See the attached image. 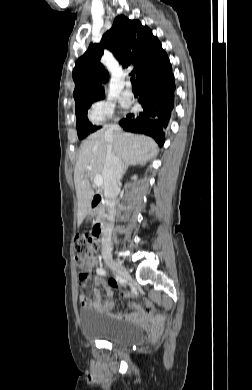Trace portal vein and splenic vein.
<instances>
[{
  "label": "portal vein and splenic vein",
  "mask_w": 252,
  "mask_h": 390,
  "mask_svg": "<svg viewBox=\"0 0 252 390\" xmlns=\"http://www.w3.org/2000/svg\"><path fill=\"white\" fill-rule=\"evenodd\" d=\"M86 168H87L88 170H91V169H92L91 166H87ZM94 184H95L97 187L102 186V184H103V178H102L101 175H96V176H94Z\"/></svg>",
  "instance_id": "1"
}]
</instances>
